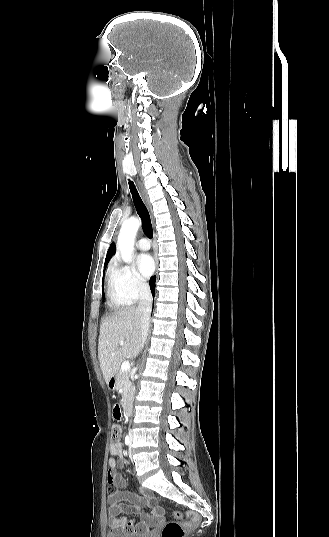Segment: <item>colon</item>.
<instances>
[{
    "mask_svg": "<svg viewBox=\"0 0 329 537\" xmlns=\"http://www.w3.org/2000/svg\"><path fill=\"white\" fill-rule=\"evenodd\" d=\"M121 434H122V429L120 425L114 424L111 429L112 442L113 443L119 442L121 439ZM173 516L175 520L168 522L164 526L161 537H185L187 530L194 527L197 524V520L201 518L202 513L198 509H193L190 511V513H185V516H190V518L192 519L189 522H185L181 520L182 512L180 511H175L173 513Z\"/></svg>",
    "mask_w": 329,
    "mask_h": 537,
    "instance_id": "1",
    "label": "colon"
}]
</instances>
